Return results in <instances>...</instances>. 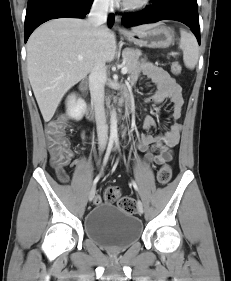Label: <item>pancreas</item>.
Listing matches in <instances>:
<instances>
[{
	"mask_svg": "<svg viewBox=\"0 0 231 281\" xmlns=\"http://www.w3.org/2000/svg\"><path fill=\"white\" fill-rule=\"evenodd\" d=\"M142 55L141 50L126 48L122 52L124 66L128 68V73L131 74L139 65V57Z\"/></svg>",
	"mask_w": 231,
	"mask_h": 281,
	"instance_id": "cf45deb5",
	"label": "pancreas"
}]
</instances>
